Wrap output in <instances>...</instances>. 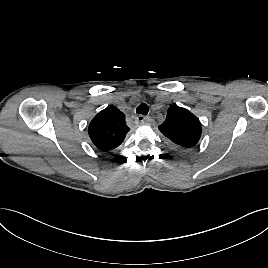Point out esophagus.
<instances>
[{
	"label": "esophagus",
	"mask_w": 268,
	"mask_h": 268,
	"mask_svg": "<svg viewBox=\"0 0 268 268\" xmlns=\"http://www.w3.org/2000/svg\"><path fill=\"white\" fill-rule=\"evenodd\" d=\"M136 119L141 124H144L146 121L149 120V118L144 115H138Z\"/></svg>",
	"instance_id": "1"
}]
</instances>
